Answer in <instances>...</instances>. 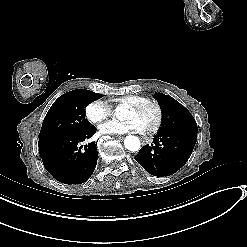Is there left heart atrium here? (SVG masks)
<instances>
[{"label":"left heart atrium","instance_id":"1","mask_svg":"<svg viewBox=\"0 0 247 247\" xmlns=\"http://www.w3.org/2000/svg\"><path fill=\"white\" fill-rule=\"evenodd\" d=\"M101 134H125L133 132H141L142 128L138 120L132 119L127 122L116 123L108 122L99 127Z\"/></svg>","mask_w":247,"mask_h":247}]
</instances>
